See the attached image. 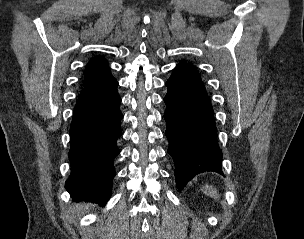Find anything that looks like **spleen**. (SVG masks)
<instances>
[{
    "label": "spleen",
    "instance_id": "3e777b00",
    "mask_svg": "<svg viewBox=\"0 0 304 239\" xmlns=\"http://www.w3.org/2000/svg\"><path fill=\"white\" fill-rule=\"evenodd\" d=\"M203 190L209 194L210 196L214 197V198H219V194L216 190V188H213L212 186H205L203 187Z\"/></svg>",
    "mask_w": 304,
    "mask_h": 239
}]
</instances>
